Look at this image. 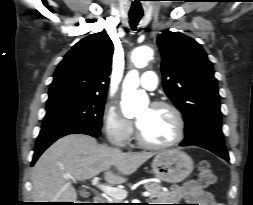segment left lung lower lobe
<instances>
[{"label": "left lung lower lobe", "mask_w": 253, "mask_h": 205, "mask_svg": "<svg viewBox=\"0 0 253 205\" xmlns=\"http://www.w3.org/2000/svg\"><path fill=\"white\" fill-rule=\"evenodd\" d=\"M196 145L220 156L221 158L229 161V156L225 147L224 139L221 136L216 135H206L192 143L182 142L180 146Z\"/></svg>", "instance_id": "0a47b994"}]
</instances>
